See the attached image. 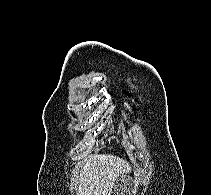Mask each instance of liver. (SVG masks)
Returning a JSON list of instances; mask_svg holds the SVG:
<instances>
[{"mask_svg":"<svg viewBox=\"0 0 211 195\" xmlns=\"http://www.w3.org/2000/svg\"><path fill=\"white\" fill-rule=\"evenodd\" d=\"M130 172L129 163L122 158L111 154L89 155L81 170L77 172L79 180L77 195H111L114 181Z\"/></svg>","mask_w":211,"mask_h":195,"instance_id":"liver-1","label":"liver"}]
</instances>
